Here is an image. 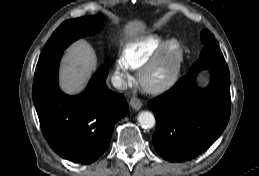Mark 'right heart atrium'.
I'll return each instance as SVG.
<instances>
[{
	"label": "right heart atrium",
	"instance_id": "obj_1",
	"mask_svg": "<svg viewBox=\"0 0 259 176\" xmlns=\"http://www.w3.org/2000/svg\"><path fill=\"white\" fill-rule=\"evenodd\" d=\"M114 75L118 83H122L129 78L128 67L122 57H118L114 63Z\"/></svg>",
	"mask_w": 259,
	"mask_h": 176
}]
</instances>
